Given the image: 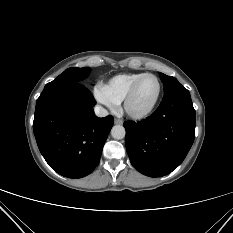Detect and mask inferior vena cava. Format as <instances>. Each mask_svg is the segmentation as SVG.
Returning a JSON list of instances; mask_svg holds the SVG:
<instances>
[{
  "mask_svg": "<svg viewBox=\"0 0 233 233\" xmlns=\"http://www.w3.org/2000/svg\"><path fill=\"white\" fill-rule=\"evenodd\" d=\"M94 112L98 117H105L108 115V111L99 105L95 106Z\"/></svg>",
  "mask_w": 233,
  "mask_h": 233,
  "instance_id": "obj_1",
  "label": "inferior vena cava"
}]
</instances>
